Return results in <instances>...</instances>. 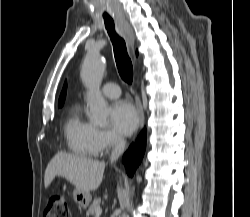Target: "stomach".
<instances>
[{"mask_svg":"<svg viewBox=\"0 0 250 217\" xmlns=\"http://www.w3.org/2000/svg\"><path fill=\"white\" fill-rule=\"evenodd\" d=\"M74 201L83 209H86L92 199L90 191H79L77 189L73 192Z\"/></svg>","mask_w":250,"mask_h":217,"instance_id":"1","label":"stomach"}]
</instances>
